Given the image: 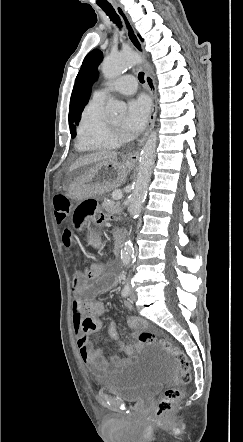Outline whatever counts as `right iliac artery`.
<instances>
[{
	"mask_svg": "<svg viewBox=\"0 0 243 442\" xmlns=\"http://www.w3.org/2000/svg\"><path fill=\"white\" fill-rule=\"evenodd\" d=\"M130 292V285L127 282L126 285L124 286L123 290H122V296L123 297H127L129 295Z\"/></svg>",
	"mask_w": 243,
	"mask_h": 442,
	"instance_id": "82829eb1",
	"label": "right iliac artery"
}]
</instances>
